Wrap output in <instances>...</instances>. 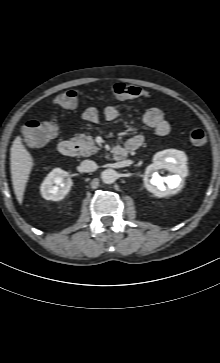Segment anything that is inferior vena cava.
I'll use <instances>...</instances> for the list:
<instances>
[{
	"label": "inferior vena cava",
	"instance_id": "inferior-vena-cava-1",
	"mask_svg": "<svg viewBox=\"0 0 220 363\" xmlns=\"http://www.w3.org/2000/svg\"><path fill=\"white\" fill-rule=\"evenodd\" d=\"M80 168L83 172H93L97 170L98 165L92 160H84L81 162Z\"/></svg>",
	"mask_w": 220,
	"mask_h": 363
}]
</instances>
